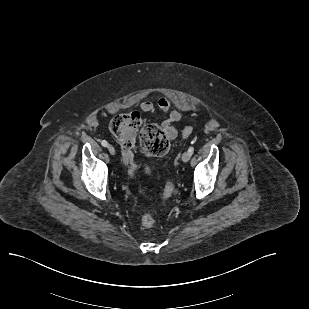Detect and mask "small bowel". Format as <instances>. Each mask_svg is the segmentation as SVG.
<instances>
[{"label": "small bowel", "instance_id": "1", "mask_svg": "<svg viewBox=\"0 0 309 309\" xmlns=\"http://www.w3.org/2000/svg\"><path fill=\"white\" fill-rule=\"evenodd\" d=\"M156 106L164 114V121L162 122V128L168 139L173 140L177 137L178 131L174 126V123L178 122L182 118V113L178 109H171V100L167 97H161L158 99L155 105L151 100H145L141 103L140 109L145 113H152L155 111ZM127 162H133V156L125 155ZM134 163V162H133Z\"/></svg>", "mask_w": 309, "mask_h": 309}]
</instances>
